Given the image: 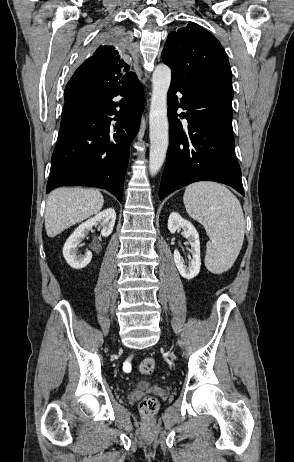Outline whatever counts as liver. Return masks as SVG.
<instances>
[{
    "label": "liver",
    "instance_id": "1",
    "mask_svg": "<svg viewBox=\"0 0 294 462\" xmlns=\"http://www.w3.org/2000/svg\"><path fill=\"white\" fill-rule=\"evenodd\" d=\"M104 204L102 194L95 189L58 188L46 202L45 229L55 237L65 229L98 213Z\"/></svg>",
    "mask_w": 294,
    "mask_h": 462
}]
</instances>
